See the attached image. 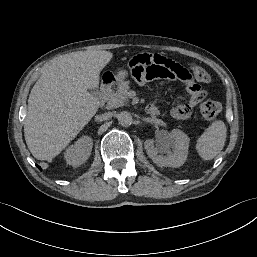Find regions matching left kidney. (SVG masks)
Listing matches in <instances>:
<instances>
[{
	"instance_id": "obj_1",
	"label": "left kidney",
	"mask_w": 257,
	"mask_h": 257,
	"mask_svg": "<svg viewBox=\"0 0 257 257\" xmlns=\"http://www.w3.org/2000/svg\"><path fill=\"white\" fill-rule=\"evenodd\" d=\"M189 137L179 129L162 132L158 137L144 143L147 155L160 167H180L188 156ZM166 154V156L164 155Z\"/></svg>"
}]
</instances>
